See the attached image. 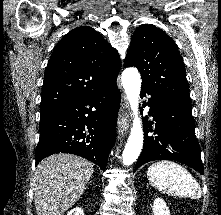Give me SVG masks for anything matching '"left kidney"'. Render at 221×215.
<instances>
[{
  "label": "left kidney",
  "mask_w": 221,
  "mask_h": 215,
  "mask_svg": "<svg viewBox=\"0 0 221 215\" xmlns=\"http://www.w3.org/2000/svg\"><path fill=\"white\" fill-rule=\"evenodd\" d=\"M154 215H170L169 208L161 198H156L152 206Z\"/></svg>",
  "instance_id": "left-kidney-1"
}]
</instances>
